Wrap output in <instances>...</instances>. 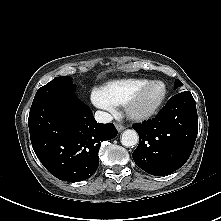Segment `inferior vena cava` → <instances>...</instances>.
<instances>
[{
  "label": "inferior vena cava",
  "mask_w": 221,
  "mask_h": 221,
  "mask_svg": "<svg viewBox=\"0 0 221 221\" xmlns=\"http://www.w3.org/2000/svg\"><path fill=\"white\" fill-rule=\"evenodd\" d=\"M94 117L99 123H109L112 121L113 117L104 111H96Z\"/></svg>",
  "instance_id": "obj_1"
}]
</instances>
